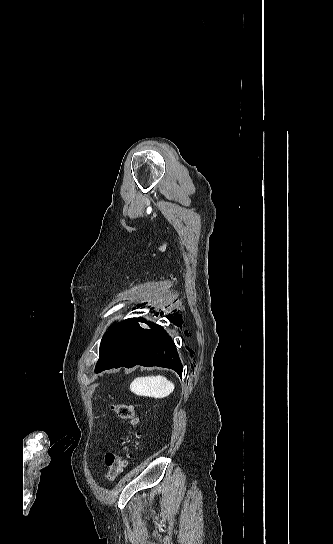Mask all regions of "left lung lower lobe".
Here are the masks:
<instances>
[{"label":"left lung lower lobe","instance_id":"1","mask_svg":"<svg viewBox=\"0 0 333 544\" xmlns=\"http://www.w3.org/2000/svg\"><path fill=\"white\" fill-rule=\"evenodd\" d=\"M176 324V321H173ZM135 365L159 366L175 370L180 376L182 364L176 346L163 327L156 325L150 330L139 329L133 342L120 349L107 350L103 362L96 366L100 373L111 368Z\"/></svg>","mask_w":333,"mask_h":544}]
</instances>
